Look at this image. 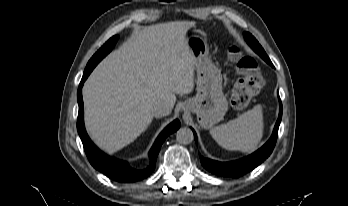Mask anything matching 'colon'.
Masks as SVG:
<instances>
[{
	"mask_svg": "<svg viewBox=\"0 0 348 206\" xmlns=\"http://www.w3.org/2000/svg\"><path fill=\"white\" fill-rule=\"evenodd\" d=\"M229 56L241 75L232 92V104L238 109H245L263 86V70L254 58L244 56L237 45L230 48Z\"/></svg>",
	"mask_w": 348,
	"mask_h": 206,
	"instance_id": "obj_1",
	"label": "colon"
}]
</instances>
